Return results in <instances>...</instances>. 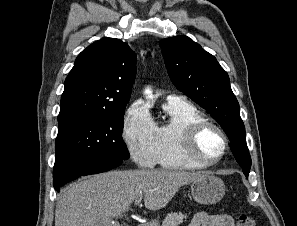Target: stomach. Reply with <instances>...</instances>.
I'll return each instance as SVG.
<instances>
[{
    "label": "stomach",
    "instance_id": "1",
    "mask_svg": "<svg viewBox=\"0 0 297 226\" xmlns=\"http://www.w3.org/2000/svg\"><path fill=\"white\" fill-rule=\"evenodd\" d=\"M190 186L194 200L200 204H215L225 194L223 181L212 175H206L201 179L194 180ZM151 226H157V223L155 222Z\"/></svg>",
    "mask_w": 297,
    "mask_h": 226
}]
</instances>
